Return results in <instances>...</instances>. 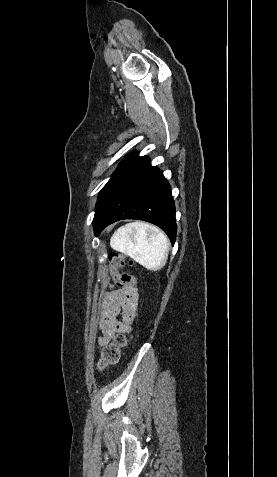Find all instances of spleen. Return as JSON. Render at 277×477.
Returning a JSON list of instances; mask_svg holds the SVG:
<instances>
[{
	"instance_id": "3e777b00",
	"label": "spleen",
	"mask_w": 277,
	"mask_h": 477,
	"mask_svg": "<svg viewBox=\"0 0 277 477\" xmlns=\"http://www.w3.org/2000/svg\"><path fill=\"white\" fill-rule=\"evenodd\" d=\"M111 247L150 271L161 270L168 259L169 241L157 227L132 222L120 227L110 240Z\"/></svg>"
}]
</instances>
